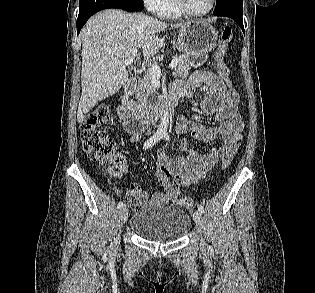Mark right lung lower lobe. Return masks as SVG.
Wrapping results in <instances>:
<instances>
[{"label": "right lung lower lobe", "instance_id": "98d812e1", "mask_svg": "<svg viewBox=\"0 0 315 293\" xmlns=\"http://www.w3.org/2000/svg\"><path fill=\"white\" fill-rule=\"evenodd\" d=\"M79 8L77 34H79L81 28L87 20L100 10L118 8L128 12H133L142 10L144 5L142 0H80Z\"/></svg>", "mask_w": 315, "mask_h": 293}]
</instances>
